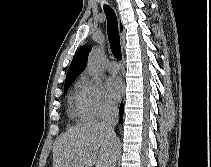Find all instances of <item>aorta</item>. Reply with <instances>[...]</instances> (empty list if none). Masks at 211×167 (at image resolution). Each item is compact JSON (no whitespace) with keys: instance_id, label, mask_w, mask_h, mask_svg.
I'll return each instance as SVG.
<instances>
[{"instance_id":"obj_1","label":"aorta","mask_w":211,"mask_h":167,"mask_svg":"<svg viewBox=\"0 0 211 167\" xmlns=\"http://www.w3.org/2000/svg\"><path fill=\"white\" fill-rule=\"evenodd\" d=\"M103 51L100 48L94 49L88 58V68L95 76L102 75Z\"/></svg>"}]
</instances>
